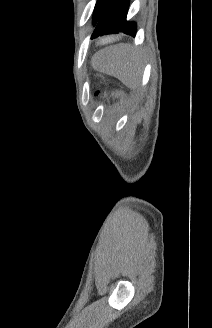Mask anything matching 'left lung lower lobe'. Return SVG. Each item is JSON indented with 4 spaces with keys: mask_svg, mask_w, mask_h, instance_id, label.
<instances>
[{
    "mask_svg": "<svg viewBox=\"0 0 212 328\" xmlns=\"http://www.w3.org/2000/svg\"><path fill=\"white\" fill-rule=\"evenodd\" d=\"M128 7V0H108L95 24L91 38L119 32L135 37L136 24L126 20Z\"/></svg>",
    "mask_w": 212,
    "mask_h": 328,
    "instance_id": "obj_1",
    "label": "left lung lower lobe"
}]
</instances>
